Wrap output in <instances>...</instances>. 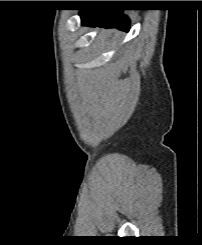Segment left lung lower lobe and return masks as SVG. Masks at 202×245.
Returning a JSON list of instances; mask_svg holds the SVG:
<instances>
[{
    "instance_id": "1",
    "label": "left lung lower lobe",
    "mask_w": 202,
    "mask_h": 245,
    "mask_svg": "<svg viewBox=\"0 0 202 245\" xmlns=\"http://www.w3.org/2000/svg\"><path fill=\"white\" fill-rule=\"evenodd\" d=\"M82 24L96 26L104 25L129 30V19L116 9H85L80 10Z\"/></svg>"
}]
</instances>
